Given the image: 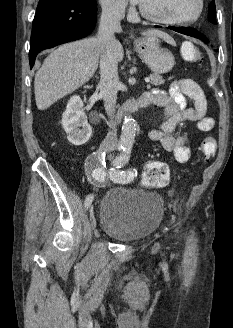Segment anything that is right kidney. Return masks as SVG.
<instances>
[{
	"label": "right kidney",
	"mask_w": 233,
	"mask_h": 328,
	"mask_svg": "<svg viewBox=\"0 0 233 328\" xmlns=\"http://www.w3.org/2000/svg\"><path fill=\"white\" fill-rule=\"evenodd\" d=\"M61 124L67 133V139L76 146L85 144L92 135L81 98L74 95L67 103ZM82 127V129H80Z\"/></svg>",
	"instance_id": "obj_1"
}]
</instances>
